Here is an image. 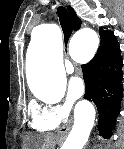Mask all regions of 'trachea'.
Wrapping results in <instances>:
<instances>
[{
	"mask_svg": "<svg viewBox=\"0 0 124 149\" xmlns=\"http://www.w3.org/2000/svg\"><path fill=\"white\" fill-rule=\"evenodd\" d=\"M57 14L59 17L60 25H61L63 33H64V38H65V40H68L70 38V36L72 34V30H73L70 15H69L68 11L62 6L58 7Z\"/></svg>",
	"mask_w": 124,
	"mask_h": 149,
	"instance_id": "1",
	"label": "trachea"
}]
</instances>
